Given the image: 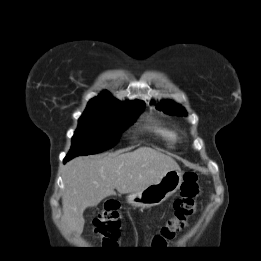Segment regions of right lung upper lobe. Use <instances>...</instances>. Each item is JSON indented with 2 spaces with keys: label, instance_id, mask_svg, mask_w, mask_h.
Instances as JSON below:
<instances>
[{
  "label": "right lung upper lobe",
  "instance_id": "1",
  "mask_svg": "<svg viewBox=\"0 0 261 261\" xmlns=\"http://www.w3.org/2000/svg\"><path fill=\"white\" fill-rule=\"evenodd\" d=\"M110 100H117L113 98L107 91L103 92L99 97L92 99L91 101H110ZM135 102H142L136 100Z\"/></svg>",
  "mask_w": 261,
  "mask_h": 261
}]
</instances>
